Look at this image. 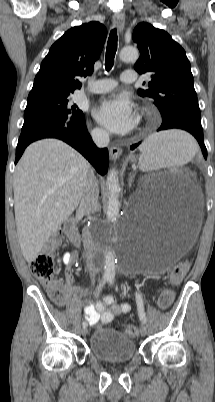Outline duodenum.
Instances as JSON below:
<instances>
[{
  "label": "duodenum",
  "mask_w": 215,
  "mask_h": 402,
  "mask_svg": "<svg viewBox=\"0 0 215 402\" xmlns=\"http://www.w3.org/2000/svg\"><path fill=\"white\" fill-rule=\"evenodd\" d=\"M65 233L69 240L74 243L75 245H80L82 238L77 229V223L74 218H70L66 221L64 226Z\"/></svg>",
  "instance_id": "1"
}]
</instances>
